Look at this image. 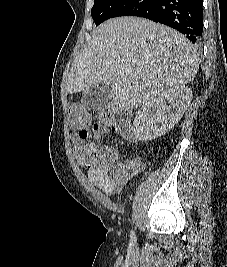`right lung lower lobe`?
Masks as SVG:
<instances>
[{
  "instance_id": "right-lung-lower-lobe-1",
  "label": "right lung lower lobe",
  "mask_w": 227,
  "mask_h": 267,
  "mask_svg": "<svg viewBox=\"0 0 227 267\" xmlns=\"http://www.w3.org/2000/svg\"><path fill=\"white\" fill-rule=\"evenodd\" d=\"M138 16L177 29L199 43L203 32L202 0H129L113 17Z\"/></svg>"
}]
</instances>
